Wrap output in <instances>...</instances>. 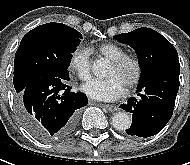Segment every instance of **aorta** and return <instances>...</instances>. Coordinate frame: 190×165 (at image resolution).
I'll return each mask as SVG.
<instances>
[{"label": "aorta", "mask_w": 190, "mask_h": 165, "mask_svg": "<svg viewBox=\"0 0 190 165\" xmlns=\"http://www.w3.org/2000/svg\"><path fill=\"white\" fill-rule=\"evenodd\" d=\"M107 68V63L104 60H96L93 64V73L96 76H103ZM112 125L115 129L123 131L131 126L130 116L125 112H118L112 118Z\"/></svg>", "instance_id": "aorta-1"}]
</instances>
